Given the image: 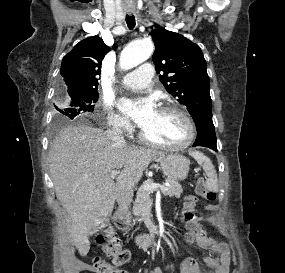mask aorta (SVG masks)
<instances>
[{
	"label": "aorta",
	"instance_id": "aorta-1",
	"mask_svg": "<svg viewBox=\"0 0 285 273\" xmlns=\"http://www.w3.org/2000/svg\"><path fill=\"white\" fill-rule=\"evenodd\" d=\"M154 51L151 40L144 39L128 44L121 53L120 66L124 70L131 69L149 59Z\"/></svg>",
	"mask_w": 285,
	"mask_h": 273
}]
</instances>
